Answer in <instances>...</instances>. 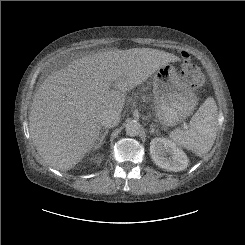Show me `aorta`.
Masks as SVG:
<instances>
[{"mask_svg": "<svg viewBox=\"0 0 245 245\" xmlns=\"http://www.w3.org/2000/svg\"><path fill=\"white\" fill-rule=\"evenodd\" d=\"M125 131L129 136H137L141 132V124L136 120H130L126 124Z\"/></svg>", "mask_w": 245, "mask_h": 245, "instance_id": "obj_1", "label": "aorta"}]
</instances>
